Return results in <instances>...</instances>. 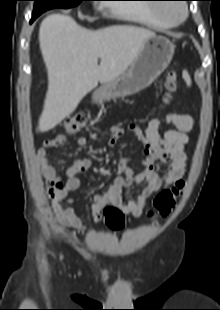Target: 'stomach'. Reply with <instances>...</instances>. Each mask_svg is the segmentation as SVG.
Masks as SVG:
<instances>
[{
    "instance_id": "1",
    "label": "stomach",
    "mask_w": 220,
    "mask_h": 310,
    "mask_svg": "<svg viewBox=\"0 0 220 310\" xmlns=\"http://www.w3.org/2000/svg\"><path fill=\"white\" fill-rule=\"evenodd\" d=\"M174 54V45L163 36L147 39L138 55L122 75L105 82L93 93V101L103 102L116 97H126L150 86L167 68Z\"/></svg>"
}]
</instances>
